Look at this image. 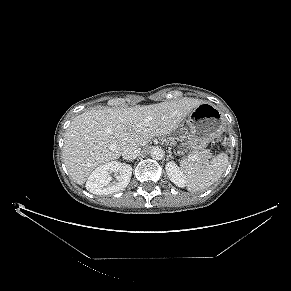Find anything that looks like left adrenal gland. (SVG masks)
Listing matches in <instances>:
<instances>
[{
    "instance_id": "obj_1",
    "label": "left adrenal gland",
    "mask_w": 291,
    "mask_h": 291,
    "mask_svg": "<svg viewBox=\"0 0 291 291\" xmlns=\"http://www.w3.org/2000/svg\"><path fill=\"white\" fill-rule=\"evenodd\" d=\"M169 158H171V159L173 158V157H172L171 149H169V155L167 156V160H168Z\"/></svg>"
}]
</instances>
